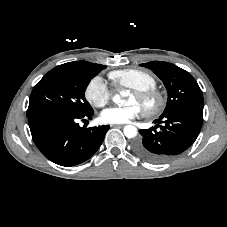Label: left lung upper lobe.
Here are the masks:
<instances>
[{"mask_svg": "<svg viewBox=\"0 0 227 227\" xmlns=\"http://www.w3.org/2000/svg\"><path fill=\"white\" fill-rule=\"evenodd\" d=\"M140 66L151 69L168 91L167 105L160 117L182 110L203 111L202 91L187 71L162 61L143 63Z\"/></svg>", "mask_w": 227, "mask_h": 227, "instance_id": "5c2ea615", "label": "left lung upper lobe"}]
</instances>
